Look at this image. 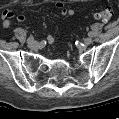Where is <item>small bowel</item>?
<instances>
[{
    "label": "small bowel",
    "mask_w": 119,
    "mask_h": 119,
    "mask_svg": "<svg viewBox=\"0 0 119 119\" xmlns=\"http://www.w3.org/2000/svg\"><path fill=\"white\" fill-rule=\"evenodd\" d=\"M55 6L56 8L60 11V13L63 15V16H71L73 15V10L71 9H67L64 5L63 2L61 1H58L55 3ZM14 17V12L11 11V10H5L2 14V18H3V26L5 28H9L11 26V23H12V19ZM17 20L19 22H23L25 20V17L23 15H18L17 16ZM48 42L49 44H53L54 43V38L53 36H49L48 37Z\"/></svg>",
    "instance_id": "1"
}]
</instances>
